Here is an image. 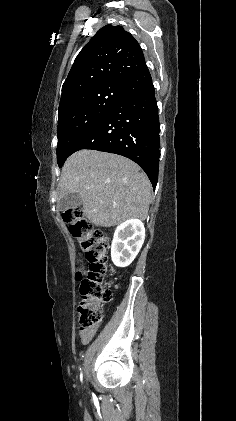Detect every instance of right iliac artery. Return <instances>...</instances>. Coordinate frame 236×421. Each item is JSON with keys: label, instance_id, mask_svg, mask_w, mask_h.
I'll return each instance as SVG.
<instances>
[{"label": "right iliac artery", "instance_id": "82829eb1", "mask_svg": "<svg viewBox=\"0 0 236 421\" xmlns=\"http://www.w3.org/2000/svg\"><path fill=\"white\" fill-rule=\"evenodd\" d=\"M82 377H83V376H82V373H81V374H80V379H81V381H82Z\"/></svg>", "mask_w": 236, "mask_h": 421}]
</instances>
